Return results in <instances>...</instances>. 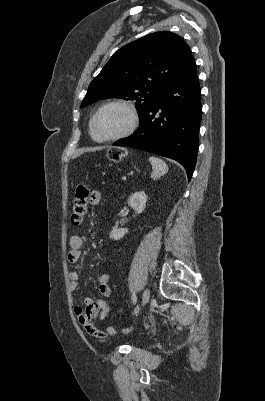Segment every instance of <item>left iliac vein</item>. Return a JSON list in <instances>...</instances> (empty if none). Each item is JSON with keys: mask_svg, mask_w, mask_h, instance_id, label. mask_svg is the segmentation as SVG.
Wrapping results in <instances>:
<instances>
[{"mask_svg": "<svg viewBox=\"0 0 265 401\" xmlns=\"http://www.w3.org/2000/svg\"><path fill=\"white\" fill-rule=\"evenodd\" d=\"M150 300V290L149 289H145L142 295V304H141V308H143Z\"/></svg>", "mask_w": 265, "mask_h": 401, "instance_id": "1", "label": "left iliac vein"}]
</instances>
